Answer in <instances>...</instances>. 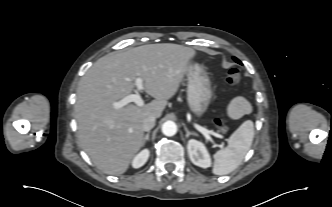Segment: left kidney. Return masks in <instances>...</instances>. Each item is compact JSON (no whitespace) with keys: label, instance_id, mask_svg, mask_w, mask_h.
<instances>
[{"label":"left kidney","instance_id":"obj_1","mask_svg":"<svg viewBox=\"0 0 332 207\" xmlns=\"http://www.w3.org/2000/svg\"><path fill=\"white\" fill-rule=\"evenodd\" d=\"M187 150L191 162L199 167L208 168L211 166V158L205 145L195 139H190Z\"/></svg>","mask_w":332,"mask_h":207}]
</instances>
